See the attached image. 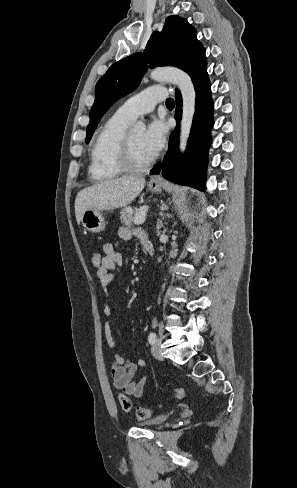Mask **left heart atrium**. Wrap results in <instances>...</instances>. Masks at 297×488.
I'll return each instance as SVG.
<instances>
[{"label": "left heart atrium", "instance_id": "1", "mask_svg": "<svg viewBox=\"0 0 297 488\" xmlns=\"http://www.w3.org/2000/svg\"><path fill=\"white\" fill-rule=\"evenodd\" d=\"M167 136V126L161 120H153L143 134V145L149 155L154 158L164 147Z\"/></svg>", "mask_w": 297, "mask_h": 488}]
</instances>
